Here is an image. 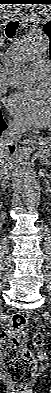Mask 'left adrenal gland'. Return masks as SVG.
<instances>
[{
	"mask_svg": "<svg viewBox=\"0 0 51 393\" xmlns=\"http://www.w3.org/2000/svg\"><path fill=\"white\" fill-rule=\"evenodd\" d=\"M45 182H46V185H47L46 194L48 195L49 192H50V184H49V181H48V180H46Z\"/></svg>",
	"mask_w": 51,
	"mask_h": 393,
	"instance_id": "left-adrenal-gland-1",
	"label": "left adrenal gland"
}]
</instances>
